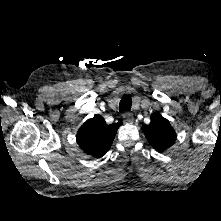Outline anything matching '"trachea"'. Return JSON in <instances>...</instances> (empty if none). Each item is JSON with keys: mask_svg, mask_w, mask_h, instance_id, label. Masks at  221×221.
<instances>
[{"mask_svg": "<svg viewBox=\"0 0 221 221\" xmlns=\"http://www.w3.org/2000/svg\"><path fill=\"white\" fill-rule=\"evenodd\" d=\"M131 106H132V98L129 95H123L119 103V111L121 113L128 112L131 110Z\"/></svg>", "mask_w": 221, "mask_h": 221, "instance_id": "3493384b", "label": "trachea"}]
</instances>
